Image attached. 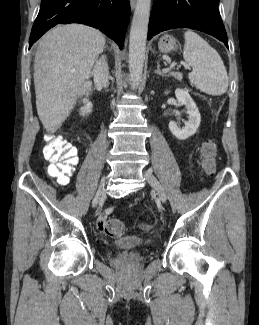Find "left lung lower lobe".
I'll use <instances>...</instances> for the list:
<instances>
[{
  "label": "left lung lower lobe",
  "instance_id": "left-lung-lower-lobe-1",
  "mask_svg": "<svg viewBox=\"0 0 259 325\" xmlns=\"http://www.w3.org/2000/svg\"><path fill=\"white\" fill-rule=\"evenodd\" d=\"M218 4L219 0H154L148 40L168 29L190 28L208 33L228 47Z\"/></svg>",
  "mask_w": 259,
  "mask_h": 325
}]
</instances>
